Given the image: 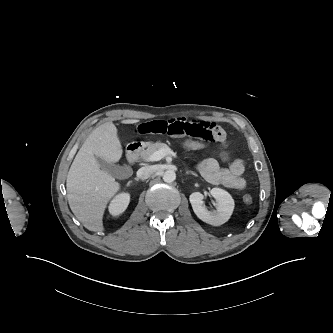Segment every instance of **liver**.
<instances>
[{"instance_id":"6515ba94","label":"liver","mask_w":333,"mask_h":333,"mask_svg":"<svg viewBox=\"0 0 333 333\" xmlns=\"http://www.w3.org/2000/svg\"><path fill=\"white\" fill-rule=\"evenodd\" d=\"M138 122L127 119L121 123ZM122 153L117 129L112 122H108L93 130L71 164L66 179L68 203L76 218L90 231L104 230L106 205L120 190L115 178L100 169L96 156L112 163L119 161Z\"/></svg>"}]
</instances>
